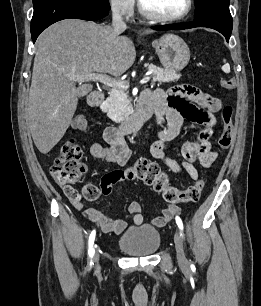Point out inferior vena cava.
<instances>
[{
	"label": "inferior vena cava",
	"mask_w": 261,
	"mask_h": 306,
	"mask_svg": "<svg viewBox=\"0 0 261 306\" xmlns=\"http://www.w3.org/2000/svg\"><path fill=\"white\" fill-rule=\"evenodd\" d=\"M112 27L117 35L126 30V23L123 21L119 10L116 8L113 10L112 14Z\"/></svg>",
	"instance_id": "obj_1"
}]
</instances>
